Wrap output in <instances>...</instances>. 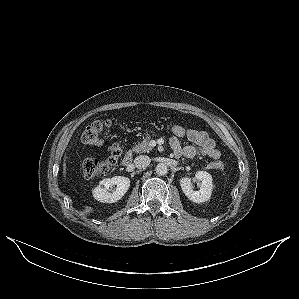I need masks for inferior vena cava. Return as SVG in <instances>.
Segmentation results:
<instances>
[{
    "label": "inferior vena cava",
    "mask_w": 299,
    "mask_h": 299,
    "mask_svg": "<svg viewBox=\"0 0 299 299\" xmlns=\"http://www.w3.org/2000/svg\"><path fill=\"white\" fill-rule=\"evenodd\" d=\"M150 162H151V159L148 156L140 155L135 158L134 165L138 169H145L146 167L149 166Z\"/></svg>",
    "instance_id": "inferior-vena-cava-1"
}]
</instances>
